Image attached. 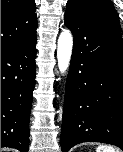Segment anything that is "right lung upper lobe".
<instances>
[{"instance_id": "obj_1", "label": "right lung upper lobe", "mask_w": 123, "mask_h": 152, "mask_svg": "<svg viewBox=\"0 0 123 152\" xmlns=\"http://www.w3.org/2000/svg\"><path fill=\"white\" fill-rule=\"evenodd\" d=\"M34 0H1V49L36 36L38 26Z\"/></svg>"}]
</instances>
